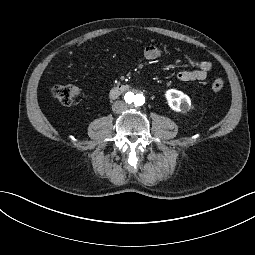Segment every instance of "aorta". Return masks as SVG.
<instances>
[{
    "label": "aorta",
    "instance_id": "obj_1",
    "mask_svg": "<svg viewBox=\"0 0 255 255\" xmlns=\"http://www.w3.org/2000/svg\"><path fill=\"white\" fill-rule=\"evenodd\" d=\"M125 100L128 104L134 106H142L145 103V97L143 94L130 90L125 94Z\"/></svg>",
    "mask_w": 255,
    "mask_h": 255
}]
</instances>
